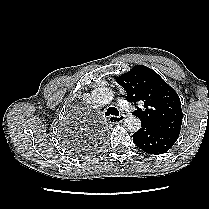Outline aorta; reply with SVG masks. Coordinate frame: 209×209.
<instances>
[{
    "label": "aorta",
    "mask_w": 209,
    "mask_h": 209,
    "mask_svg": "<svg viewBox=\"0 0 209 209\" xmlns=\"http://www.w3.org/2000/svg\"><path fill=\"white\" fill-rule=\"evenodd\" d=\"M92 100L99 105L108 104L114 97V92L107 87H99L91 92ZM123 126L130 132H137L141 127V121L136 116H128L124 119Z\"/></svg>",
    "instance_id": "obj_1"
}]
</instances>
